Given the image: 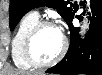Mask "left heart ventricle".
<instances>
[{
    "mask_svg": "<svg viewBox=\"0 0 102 75\" xmlns=\"http://www.w3.org/2000/svg\"><path fill=\"white\" fill-rule=\"evenodd\" d=\"M62 34L52 26L43 28L33 43L35 56L44 62L52 60L62 48Z\"/></svg>",
    "mask_w": 102,
    "mask_h": 75,
    "instance_id": "left-heart-ventricle-1",
    "label": "left heart ventricle"
}]
</instances>
